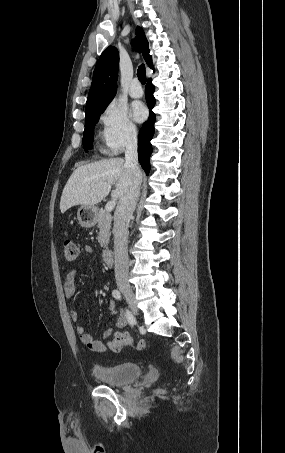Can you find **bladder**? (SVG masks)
Masks as SVG:
<instances>
[{"label":"bladder","mask_w":285,"mask_h":453,"mask_svg":"<svg viewBox=\"0 0 285 453\" xmlns=\"http://www.w3.org/2000/svg\"><path fill=\"white\" fill-rule=\"evenodd\" d=\"M92 373L96 379L110 386H124L130 384L142 375L141 367L136 363H122L117 365L95 364Z\"/></svg>","instance_id":"bladder-1"}]
</instances>
